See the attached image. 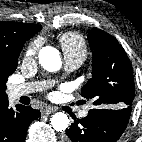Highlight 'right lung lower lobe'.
<instances>
[{
  "mask_svg": "<svg viewBox=\"0 0 142 142\" xmlns=\"http://www.w3.org/2000/svg\"><path fill=\"white\" fill-rule=\"evenodd\" d=\"M40 116L30 106L9 107L8 100L0 104V142H25L29 124Z\"/></svg>",
  "mask_w": 142,
  "mask_h": 142,
  "instance_id": "98d812e1",
  "label": "right lung lower lobe"
}]
</instances>
